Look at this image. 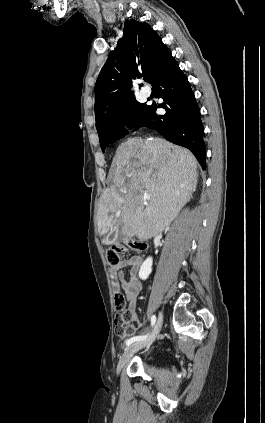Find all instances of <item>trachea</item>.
<instances>
[{
	"label": "trachea",
	"mask_w": 265,
	"mask_h": 423,
	"mask_svg": "<svg viewBox=\"0 0 265 423\" xmlns=\"http://www.w3.org/2000/svg\"><path fill=\"white\" fill-rule=\"evenodd\" d=\"M144 80H145V81H148V77H147V76H145V77H144Z\"/></svg>",
	"instance_id": "obj_1"
}]
</instances>
